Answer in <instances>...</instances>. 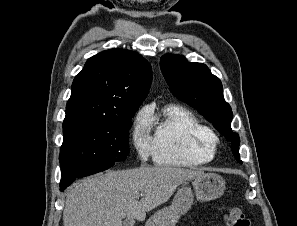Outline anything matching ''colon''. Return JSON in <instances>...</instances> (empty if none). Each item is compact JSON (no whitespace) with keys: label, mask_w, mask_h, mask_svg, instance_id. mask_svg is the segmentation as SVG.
<instances>
[{"label":"colon","mask_w":297,"mask_h":226,"mask_svg":"<svg viewBox=\"0 0 297 226\" xmlns=\"http://www.w3.org/2000/svg\"><path fill=\"white\" fill-rule=\"evenodd\" d=\"M228 226H252L250 219L238 207H230L227 217Z\"/></svg>","instance_id":"5ec220e1"}]
</instances>
